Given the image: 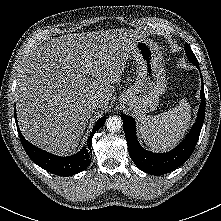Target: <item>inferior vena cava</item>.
Segmentation results:
<instances>
[{
	"mask_svg": "<svg viewBox=\"0 0 221 221\" xmlns=\"http://www.w3.org/2000/svg\"><path fill=\"white\" fill-rule=\"evenodd\" d=\"M99 106H100V103L98 100H93L89 103V108L92 110L98 108Z\"/></svg>",
	"mask_w": 221,
	"mask_h": 221,
	"instance_id": "obj_1",
	"label": "inferior vena cava"
}]
</instances>
